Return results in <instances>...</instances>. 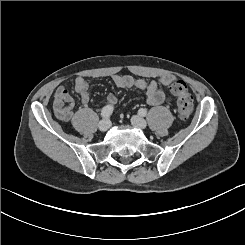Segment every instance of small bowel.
<instances>
[{"label": "small bowel", "mask_w": 245, "mask_h": 245, "mask_svg": "<svg viewBox=\"0 0 245 245\" xmlns=\"http://www.w3.org/2000/svg\"><path fill=\"white\" fill-rule=\"evenodd\" d=\"M175 77L170 74L160 76L157 80L146 81L136 79L130 75L115 74L112 76L113 82L120 88H136L146 95V102L149 105L156 106L170 100L166 94V88L174 81ZM74 90L79 95L81 102L86 105L89 102V85L87 81L79 76L74 81ZM117 103V96L109 94L106 100V106H114ZM73 99L64 86H58L53 100V109L56 117L63 122H71L74 119Z\"/></svg>", "instance_id": "small-bowel-1"}]
</instances>
